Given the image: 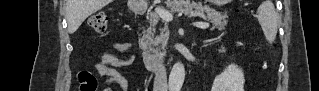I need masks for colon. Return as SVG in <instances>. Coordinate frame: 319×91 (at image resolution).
<instances>
[{
	"instance_id": "obj_1",
	"label": "colon",
	"mask_w": 319,
	"mask_h": 91,
	"mask_svg": "<svg viewBox=\"0 0 319 91\" xmlns=\"http://www.w3.org/2000/svg\"><path fill=\"white\" fill-rule=\"evenodd\" d=\"M109 15L105 12H98L89 17L88 27L97 35H105L109 27ZM81 91H95L97 89L96 79L87 73L79 76Z\"/></svg>"
}]
</instances>
